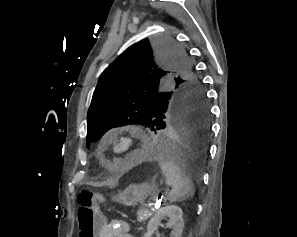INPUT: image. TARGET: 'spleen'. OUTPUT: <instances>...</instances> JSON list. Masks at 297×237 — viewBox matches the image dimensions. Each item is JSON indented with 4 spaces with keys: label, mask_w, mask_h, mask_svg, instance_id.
Instances as JSON below:
<instances>
[{
    "label": "spleen",
    "mask_w": 297,
    "mask_h": 237,
    "mask_svg": "<svg viewBox=\"0 0 297 237\" xmlns=\"http://www.w3.org/2000/svg\"><path fill=\"white\" fill-rule=\"evenodd\" d=\"M166 184L172 187L168 196L170 202L182 201L194 195L195 189L192 181L185 172L172 160L161 159L159 161Z\"/></svg>",
    "instance_id": "1"
}]
</instances>
